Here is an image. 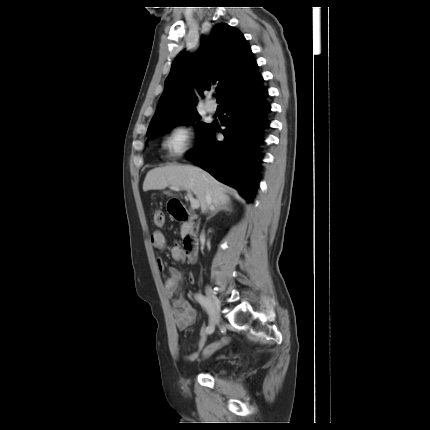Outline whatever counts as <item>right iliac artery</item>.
<instances>
[{"mask_svg": "<svg viewBox=\"0 0 430 430\" xmlns=\"http://www.w3.org/2000/svg\"><path fill=\"white\" fill-rule=\"evenodd\" d=\"M195 299L210 315L208 299L205 296H203L202 294H196ZM213 331H214V325L212 323H210L207 327V333L211 334V333H213Z\"/></svg>", "mask_w": 430, "mask_h": 430, "instance_id": "82829eb1", "label": "right iliac artery"}]
</instances>
